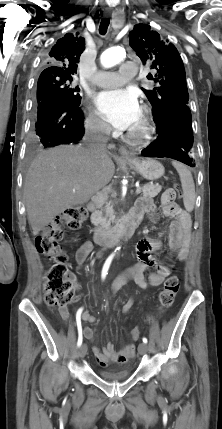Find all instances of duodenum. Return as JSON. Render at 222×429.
<instances>
[{
  "mask_svg": "<svg viewBox=\"0 0 222 429\" xmlns=\"http://www.w3.org/2000/svg\"><path fill=\"white\" fill-rule=\"evenodd\" d=\"M87 209L89 212L94 214V223H97V204L95 202H90L87 205ZM142 216L143 214L141 211H133L132 209V211L124 218L121 225L117 229L111 232H104L103 230L96 228L94 230L95 243L100 246L113 247L128 239L138 227Z\"/></svg>",
  "mask_w": 222,
  "mask_h": 429,
  "instance_id": "obj_1",
  "label": "duodenum"
}]
</instances>
